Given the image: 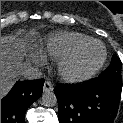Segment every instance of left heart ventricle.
Wrapping results in <instances>:
<instances>
[{"mask_svg":"<svg viewBox=\"0 0 123 123\" xmlns=\"http://www.w3.org/2000/svg\"><path fill=\"white\" fill-rule=\"evenodd\" d=\"M102 56V49L98 44L87 46L70 64L71 71L81 73L89 70Z\"/></svg>","mask_w":123,"mask_h":123,"instance_id":"1","label":"left heart ventricle"}]
</instances>
